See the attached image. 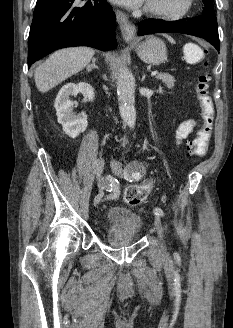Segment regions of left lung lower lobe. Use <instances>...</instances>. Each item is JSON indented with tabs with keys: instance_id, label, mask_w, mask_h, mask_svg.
I'll return each instance as SVG.
<instances>
[{
	"instance_id": "0a47b994",
	"label": "left lung lower lobe",
	"mask_w": 233,
	"mask_h": 328,
	"mask_svg": "<svg viewBox=\"0 0 233 328\" xmlns=\"http://www.w3.org/2000/svg\"><path fill=\"white\" fill-rule=\"evenodd\" d=\"M177 32L204 38L219 51V35L216 17L205 15L190 18L186 21H164L148 19L139 23L138 34Z\"/></svg>"
}]
</instances>
